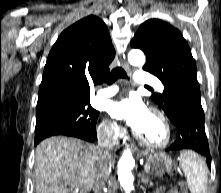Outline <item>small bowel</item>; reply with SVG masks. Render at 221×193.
<instances>
[{"label":"small bowel","instance_id":"c3829d8e","mask_svg":"<svg viewBox=\"0 0 221 193\" xmlns=\"http://www.w3.org/2000/svg\"><path fill=\"white\" fill-rule=\"evenodd\" d=\"M156 193H162V191H157ZM168 193H178L176 189H171Z\"/></svg>","mask_w":221,"mask_h":193}]
</instances>
